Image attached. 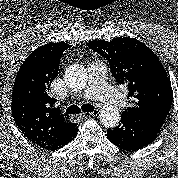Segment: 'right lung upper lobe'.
<instances>
[{
	"instance_id": "obj_1",
	"label": "right lung upper lobe",
	"mask_w": 178,
	"mask_h": 178,
	"mask_svg": "<svg viewBox=\"0 0 178 178\" xmlns=\"http://www.w3.org/2000/svg\"><path fill=\"white\" fill-rule=\"evenodd\" d=\"M70 47L64 42L38 47L21 65L13 85L11 109L17 127L31 143L46 150L77 128L49 96L60 58Z\"/></svg>"
}]
</instances>
